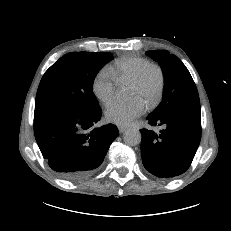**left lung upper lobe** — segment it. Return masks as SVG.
I'll use <instances>...</instances> for the list:
<instances>
[{
	"mask_svg": "<svg viewBox=\"0 0 231 231\" xmlns=\"http://www.w3.org/2000/svg\"><path fill=\"white\" fill-rule=\"evenodd\" d=\"M146 54L160 64L165 78L163 101L150 115L168 116L187 109L200 110L196 85L182 61L166 50H152Z\"/></svg>",
	"mask_w": 231,
	"mask_h": 231,
	"instance_id": "1",
	"label": "left lung upper lobe"
}]
</instances>
